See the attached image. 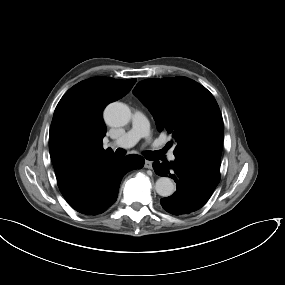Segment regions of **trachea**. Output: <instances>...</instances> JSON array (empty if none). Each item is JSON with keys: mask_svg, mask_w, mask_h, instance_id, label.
<instances>
[{"mask_svg": "<svg viewBox=\"0 0 285 285\" xmlns=\"http://www.w3.org/2000/svg\"><path fill=\"white\" fill-rule=\"evenodd\" d=\"M168 148L165 147L162 151H155V152H147L144 154L145 158L148 160H156L161 157L164 151H166ZM126 154V151L124 149H117L116 155L118 157H122Z\"/></svg>", "mask_w": 285, "mask_h": 285, "instance_id": "trachea-1", "label": "trachea"}]
</instances>
